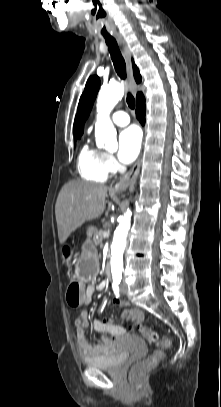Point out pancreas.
Listing matches in <instances>:
<instances>
[{
  "instance_id": "obj_1",
  "label": "pancreas",
  "mask_w": 221,
  "mask_h": 407,
  "mask_svg": "<svg viewBox=\"0 0 221 407\" xmlns=\"http://www.w3.org/2000/svg\"><path fill=\"white\" fill-rule=\"evenodd\" d=\"M103 233H104V231H103V230H100V231L97 233L98 239H94V243H95L96 245H99L100 247L103 246Z\"/></svg>"
}]
</instances>
